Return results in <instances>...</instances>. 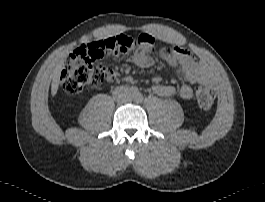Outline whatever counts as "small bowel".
I'll use <instances>...</instances> for the list:
<instances>
[{
	"mask_svg": "<svg viewBox=\"0 0 265 202\" xmlns=\"http://www.w3.org/2000/svg\"><path fill=\"white\" fill-rule=\"evenodd\" d=\"M148 36L151 38L150 42H153L154 35L149 33ZM90 45L91 44L82 45L76 48L73 53L77 56L92 55ZM105 54L106 53L96 54V57H102ZM161 57L170 66L176 68L180 72L183 83L177 88L173 85L158 84V79H154L156 84L153 86V91L159 96L171 97L178 95L181 99L190 100L194 95L195 84L208 81L205 67L180 46L174 45L163 48ZM132 61L141 67H151L153 65L152 58L148 56L143 49H139L133 54ZM124 80L128 83H132L133 77L127 75Z\"/></svg>",
	"mask_w": 265,
	"mask_h": 202,
	"instance_id": "obj_1",
	"label": "small bowel"
}]
</instances>
